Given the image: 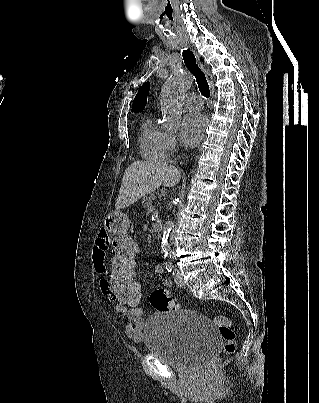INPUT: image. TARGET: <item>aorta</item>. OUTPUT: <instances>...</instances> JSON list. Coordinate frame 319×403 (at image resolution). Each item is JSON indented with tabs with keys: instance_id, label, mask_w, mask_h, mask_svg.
Instances as JSON below:
<instances>
[{
	"instance_id": "obj_1",
	"label": "aorta",
	"mask_w": 319,
	"mask_h": 403,
	"mask_svg": "<svg viewBox=\"0 0 319 403\" xmlns=\"http://www.w3.org/2000/svg\"><path fill=\"white\" fill-rule=\"evenodd\" d=\"M189 85L190 77L179 69L175 70L163 85L160 107L165 125L169 128L177 127L181 122L182 108L180 100ZM174 205H177V201H174ZM173 212H175V208ZM173 228L174 222L172 219L168 220L163 227L161 249L165 255H168L170 251L168 239Z\"/></svg>"
}]
</instances>
